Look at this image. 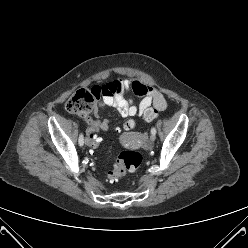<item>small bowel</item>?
Listing matches in <instances>:
<instances>
[{
    "label": "small bowel",
    "mask_w": 248,
    "mask_h": 248,
    "mask_svg": "<svg viewBox=\"0 0 248 248\" xmlns=\"http://www.w3.org/2000/svg\"><path fill=\"white\" fill-rule=\"evenodd\" d=\"M106 85L114 86L115 91H108L103 94L102 98L97 102V107H113L122 117L142 116L151 106L157 111H163L167 107V102L162 93L139 79H116ZM127 92H133L136 95L142 96L138 106L131 99L126 98L125 94ZM86 121L89 128H95L97 131L99 129L107 130L109 127L108 121H100L98 116L95 119L86 117Z\"/></svg>",
    "instance_id": "c3829d8e"
}]
</instances>
